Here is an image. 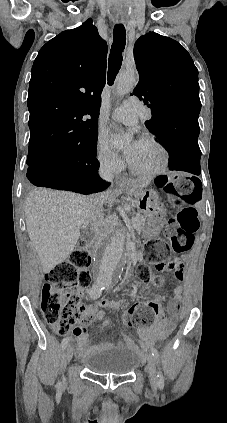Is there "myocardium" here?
Instances as JSON below:
<instances>
[{"label":"myocardium","instance_id":"1","mask_svg":"<svg viewBox=\"0 0 227 423\" xmlns=\"http://www.w3.org/2000/svg\"><path fill=\"white\" fill-rule=\"evenodd\" d=\"M139 142L153 144L157 148H159V150L161 151V154H162V161H161V163L158 167H156L154 170L149 171V172H143V171L136 169L130 162L129 163L130 171L137 176H140L142 178H149V179L156 178V177L164 174L168 170L169 165H170V161H171V155H170V152H169L167 146L155 136L142 137L139 140Z\"/></svg>","mask_w":227,"mask_h":423}]
</instances>
